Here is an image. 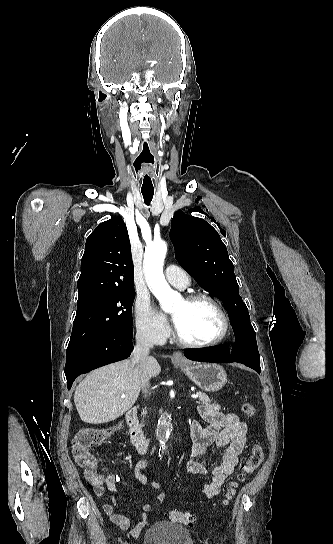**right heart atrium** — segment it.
Masks as SVG:
<instances>
[{"label":"right heart atrium","instance_id":"d8ad5b80","mask_svg":"<svg viewBox=\"0 0 333 544\" xmlns=\"http://www.w3.org/2000/svg\"><path fill=\"white\" fill-rule=\"evenodd\" d=\"M135 325L138 335L149 342L160 343L166 339L169 328L166 321L154 310L148 296H138L134 305Z\"/></svg>","mask_w":333,"mask_h":544}]
</instances>
